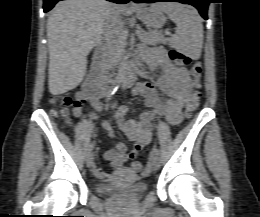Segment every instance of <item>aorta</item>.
Masks as SVG:
<instances>
[{
	"mask_svg": "<svg viewBox=\"0 0 260 217\" xmlns=\"http://www.w3.org/2000/svg\"><path fill=\"white\" fill-rule=\"evenodd\" d=\"M127 60H128V57H127V55H125L123 57V61H122L121 66L119 68V75H120L121 79H123L125 77V73L127 71V66H128Z\"/></svg>",
	"mask_w": 260,
	"mask_h": 217,
	"instance_id": "1",
	"label": "aorta"
}]
</instances>
